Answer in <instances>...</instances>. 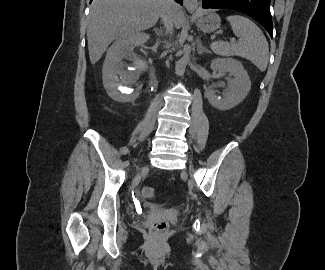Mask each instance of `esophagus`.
Masks as SVG:
<instances>
[{
	"instance_id": "obj_1",
	"label": "esophagus",
	"mask_w": 325,
	"mask_h": 270,
	"mask_svg": "<svg viewBox=\"0 0 325 270\" xmlns=\"http://www.w3.org/2000/svg\"><path fill=\"white\" fill-rule=\"evenodd\" d=\"M184 6L189 11H194L198 8L199 2L198 0H184Z\"/></svg>"
}]
</instances>
